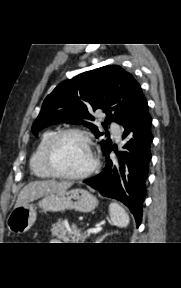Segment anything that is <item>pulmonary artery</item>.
Returning a JSON list of instances; mask_svg holds the SVG:
<instances>
[{"mask_svg": "<svg viewBox=\"0 0 181 288\" xmlns=\"http://www.w3.org/2000/svg\"><path fill=\"white\" fill-rule=\"evenodd\" d=\"M112 130L115 133V136L117 139H120V129L117 125L113 124L112 125Z\"/></svg>", "mask_w": 181, "mask_h": 288, "instance_id": "pulmonary-artery-1", "label": "pulmonary artery"}]
</instances>
